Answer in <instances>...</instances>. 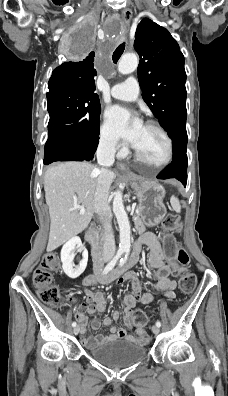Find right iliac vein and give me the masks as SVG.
Masks as SVG:
<instances>
[{
  "label": "right iliac vein",
  "instance_id": "right-iliac-vein-1",
  "mask_svg": "<svg viewBox=\"0 0 228 396\" xmlns=\"http://www.w3.org/2000/svg\"><path fill=\"white\" fill-rule=\"evenodd\" d=\"M79 331H80V327L79 326H75L74 329H73V333L75 335H78Z\"/></svg>",
  "mask_w": 228,
  "mask_h": 396
}]
</instances>
